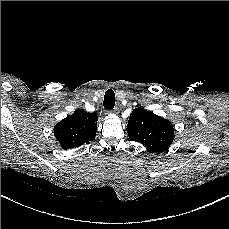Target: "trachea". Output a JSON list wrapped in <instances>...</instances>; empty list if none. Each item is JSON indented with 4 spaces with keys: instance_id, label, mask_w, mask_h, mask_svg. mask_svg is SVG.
I'll return each instance as SVG.
<instances>
[{
    "instance_id": "1",
    "label": "trachea",
    "mask_w": 229,
    "mask_h": 229,
    "mask_svg": "<svg viewBox=\"0 0 229 229\" xmlns=\"http://www.w3.org/2000/svg\"><path fill=\"white\" fill-rule=\"evenodd\" d=\"M104 108L106 110H112L115 105V93L112 89H108L104 95L103 101Z\"/></svg>"
}]
</instances>
